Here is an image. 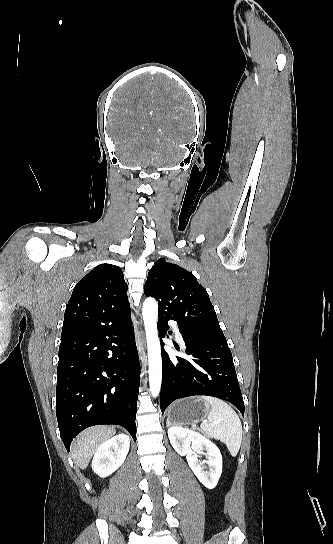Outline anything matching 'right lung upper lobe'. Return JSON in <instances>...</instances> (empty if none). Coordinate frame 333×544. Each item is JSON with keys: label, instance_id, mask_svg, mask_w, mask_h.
I'll return each mask as SVG.
<instances>
[{"label": "right lung upper lobe", "instance_id": "obj_1", "mask_svg": "<svg viewBox=\"0 0 333 544\" xmlns=\"http://www.w3.org/2000/svg\"><path fill=\"white\" fill-rule=\"evenodd\" d=\"M127 290L118 266L104 263L95 267L73 289L65 310L61 339L122 320L130 314Z\"/></svg>", "mask_w": 333, "mask_h": 544}]
</instances>
